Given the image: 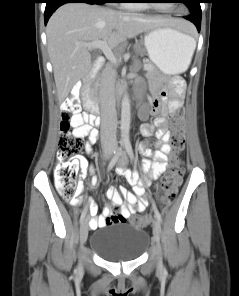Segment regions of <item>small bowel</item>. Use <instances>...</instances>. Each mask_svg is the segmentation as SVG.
I'll list each match as a JSON object with an SVG mask.
<instances>
[{"label":"small bowel","mask_w":239,"mask_h":296,"mask_svg":"<svg viewBox=\"0 0 239 296\" xmlns=\"http://www.w3.org/2000/svg\"><path fill=\"white\" fill-rule=\"evenodd\" d=\"M138 82L137 85H140ZM184 81L181 78H175L173 80V94L167 102L168 92L166 90L159 91L151 104L150 112L152 114H158L161 111L165 113L167 110L170 112L176 111L182 105V93L184 90ZM143 117L146 114H142ZM75 121L79 123L76 130L77 135L86 138L85 151L87 154L92 153V144L96 142L99 137V132L93 127V116L86 112L78 113L75 117ZM141 132L145 136L155 135L158 138V149L152 151L147 147V144L142 145V150L145 155L142 163L143 172L147 175L146 178L140 179L137 171H130L125 168H118L117 175L122 176L132 186V190H128L124 187L117 189L110 187L106 194L112 201V206H106L103 208L102 214L98 217H94L90 221L92 228H101L106 225L107 218L111 215L113 209L120 208V215L124 220L130 218L135 212H143L148 205L146 199H144L145 188L150 185V178H156L160 174L166 171L168 154L171 151L169 145L170 131L169 123L165 115L157 117L152 123L144 124L141 127ZM81 165L87 167V162L84 159H80ZM90 173L95 171L94 166H90ZM98 182L97 178H92L89 182L90 186H94ZM126 201L129 206L123 205ZM98 207L96 204H91L90 212L92 216H96Z\"/></svg>","instance_id":"small-bowel-1"}]
</instances>
